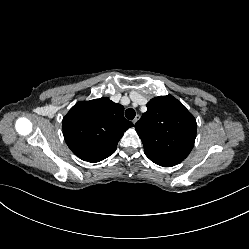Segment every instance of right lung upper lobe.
<instances>
[{
  "mask_svg": "<svg viewBox=\"0 0 249 249\" xmlns=\"http://www.w3.org/2000/svg\"><path fill=\"white\" fill-rule=\"evenodd\" d=\"M132 126L124 118V107L103 97L75 104L63 118V135L76 156L94 163L113 154Z\"/></svg>",
  "mask_w": 249,
  "mask_h": 249,
  "instance_id": "obj_1",
  "label": "right lung upper lobe"
}]
</instances>
